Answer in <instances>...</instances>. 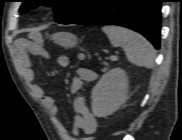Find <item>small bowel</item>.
<instances>
[{
    "label": "small bowel",
    "instance_id": "c3829d8e",
    "mask_svg": "<svg viewBox=\"0 0 182 140\" xmlns=\"http://www.w3.org/2000/svg\"><path fill=\"white\" fill-rule=\"evenodd\" d=\"M18 60L21 64L24 76L29 84L32 85L35 95L40 99L43 107H45L53 117H56L58 114V106L55 99L52 95L45 94L43 88L40 85L35 84V71L34 64L30 57V54L44 55L45 50L39 42H30L24 39L18 41ZM78 59L81 61L84 59L83 54L78 55ZM57 64L60 67H67L69 64V59L65 55H59L56 59ZM97 73L86 69L80 68L78 70L77 76L73 78L70 86L72 93L78 92L84 82H92L96 80ZM73 109L75 112L73 120V136H77L82 130L85 135L89 136L96 132L97 130V120L90 108L87 105V102L83 96L75 97L73 101Z\"/></svg>",
    "mask_w": 182,
    "mask_h": 140
}]
</instances>
